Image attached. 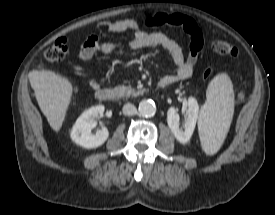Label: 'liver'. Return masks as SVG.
I'll return each instance as SVG.
<instances>
[{"label": "liver", "instance_id": "6515ba94", "mask_svg": "<svg viewBox=\"0 0 275 215\" xmlns=\"http://www.w3.org/2000/svg\"><path fill=\"white\" fill-rule=\"evenodd\" d=\"M28 77L42 113L51 128L58 132L72 99V83L49 70H32Z\"/></svg>", "mask_w": 275, "mask_h": 215}]
</instances>
